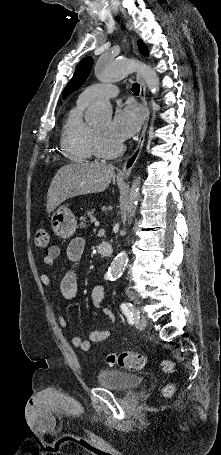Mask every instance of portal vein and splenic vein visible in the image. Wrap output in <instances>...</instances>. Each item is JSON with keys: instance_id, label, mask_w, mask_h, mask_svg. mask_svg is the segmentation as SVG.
<instances>
[{"instance_id": "18ae733b", "label": "portal vein and splenic vein", "mask_w": 221, "mask_h": 455, "mask_svg": "<svg viewBox=\"0 0 221 455\" xmlns=\"http://www.w3.org/2000/svg\"><path fill=\"white\" fill-rule=\"evenodd\" d=\"M94 224H95V226H99L100 223H99V221L95 220Z\"/></svg>"}]
</instances>
